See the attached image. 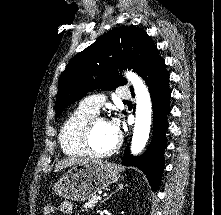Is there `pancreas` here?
<instances>
[{
	"label": "pancreas",
	"mask_w": 221,
	"mask_h": 215,
	"mask_svg": "<svg viewBox=\"0 0 221 215\" xmlns=\"http://www.w3.org/2000/svg\"><path fill=\"white\" fill-rule=\"evenodd\" d=\"M98 203V199L96 196H93L92 198H90L88 200V202H86L84 204V208L85 209H89V208H93L94 206H96V204Z\"/></svg>",
	"instance_id": "pancreas-1"
}]
</instances>
